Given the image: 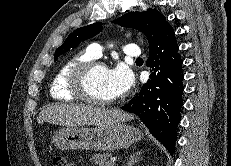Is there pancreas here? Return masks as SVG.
<instances>
[{"label": "pancreas", "mask_w": 231, "mask_h": 166, "mask_svg": "<svg viewBox=\"0 0 231 166\" xmlns=\"http://www.w3.org/2000/svg\"><path fill=\"white\" fill-rule=\"evenodd\" d=\"M110 155L108 153L95 154L93 160L97 166H114V163L108 161Z\"/></svg>", "instance_id": "cf45deb5"}]
</instances>
